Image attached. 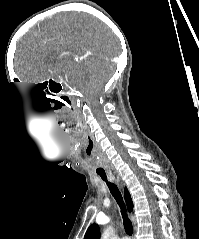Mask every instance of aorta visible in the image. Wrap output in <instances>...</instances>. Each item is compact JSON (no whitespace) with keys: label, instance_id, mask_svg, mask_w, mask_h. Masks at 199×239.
<instances>
[{"label":"aorta","instance_id":"obj_1","mask_svg":"<svg viewBox=\"0 0 199 239\" xmlns=\"http://www.w3.org/2000/svg\"><path fill=\"white\" fill-rule=\"evenodd\" d=\"M112 231H113V230H112L111 227H107V228L104 230L101 239H111Z\"/></svg>","mask_w":199,"mask_h":239}]
</instances>
